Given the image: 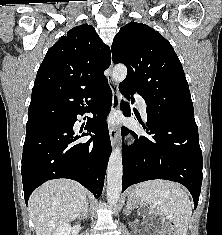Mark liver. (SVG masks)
Returning a JSON list of instances; mask_svg holds the SVG:
<instances>
[{
  "label": "liver",
  "mask_w": 222,
  "mask_h": 235,
  "mask_svg": "<svg viewBox=\"0 0 222 235\" xmlns=\"http://www.w3.org/2000/svg\"><path fill=\"white\" fill-rule=\"evenodd\" d=\"M86 194L81 184L68 179L51 180L37 188L28 202L36 235H52L75 220L85 206Z\"/></svg>",
  "instance_id": "6515ba94"
}]
</instances>
